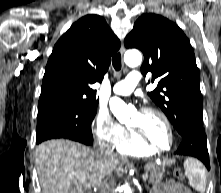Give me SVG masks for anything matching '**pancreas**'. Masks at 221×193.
Listing matches in <instances>:
<instances>
[{"label": "pancreas", "mask_w": 221, "mask_h": 193, "mask_svg": "<svg viewBox=\"0 0 221 193\" xmlns=\"http://www.w3.org/2000/svg\"><path fill=\"white\" fill-rule=\"evenodd\" d=\"M145 170L148 176V181L151 184H157L163 179V175L165 172L164 167L156 166L155 164H149L145 166Z\"/></svg>", "instance_id": "1"}]
</instances>
